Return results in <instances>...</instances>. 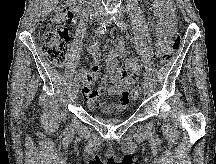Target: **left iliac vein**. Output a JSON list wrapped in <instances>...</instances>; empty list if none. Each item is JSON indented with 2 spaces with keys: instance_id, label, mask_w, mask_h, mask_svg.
<instances>
[{
  "instance_id": "obj_1",
  "label": "left iliac vein",
  "mask_w": 216,
  "mask_h": 164,
  "mask_svg": "<svg viewBox=\"0 0 216 164\" xmlns=\"http://www.w3.org/2000/svg\"><path fill=\"white\" fill-rule=\"evenodd\" d=\"M107 23H110L108 20H106ZM148 89H149V85H148V81H144L143 82V93L147 94L148 93Z\"/></svg>"
}]
</instances>
